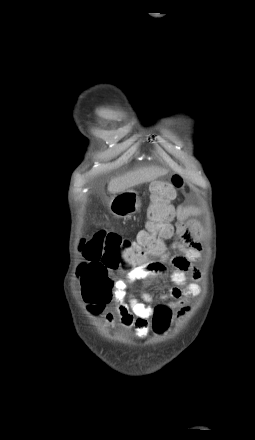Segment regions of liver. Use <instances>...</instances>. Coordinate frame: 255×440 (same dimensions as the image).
Listing matches in <instances>:
<instances>
[{
	"instance_id": "1",
	"label": "liver",
	"mask_w": 255,
	"mask_h": 440,
	"mask_svg": "<svg viewBox=\"0 0 255 440\" xmlns=\"http://www.w3.org/2000/svg\"><path fill=\"white\" fill-rule=\"evenodd\" d=\"M167 173L168 171L166 169L156 166L139 168L111 179L108 184V191L111 194L120 193L136 185L154 181Z\"/></svg>"
}]
</instances>
